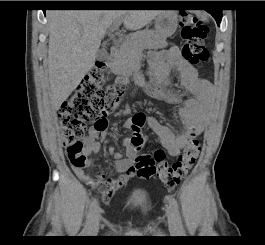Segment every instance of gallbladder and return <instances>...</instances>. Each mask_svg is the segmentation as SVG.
Segmentation results:
<instances>
[{
  "label": "gallbladder",
  "mask_w": 265,
  "mask_h": 245,
  "mask_svg": "<svg viewBox=\"0 0 265 245\" xmlns=\"http://www.w3.org/2000/svg\"><path fill=\"white\" fill-rule=\"evenodd\" d=\"M108 56V53L105 49H99L97 54H96V58L98 60H104L106 57Z\"/></svg>",
  "instance_id": "bac80fb5"
}]
</instances>
